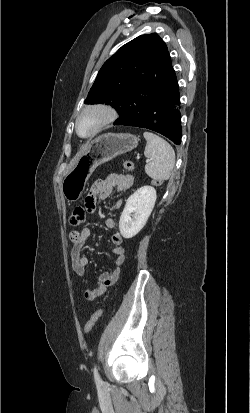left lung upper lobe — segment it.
<instances>
[{"label": "left lung upper lobe", "instance_id": "5c2ea615", "mask_svg": "<svg viewBox=\"0 0 250 413\" xmlns=\"http://www.w3.org/2000/svg\"><path fill=\"white\" fill-rule=\"evenodd\" d=\"M170 62L167 46L156 33L141 35L103 64L85 104L106 103L118 111L141 84L163 77Z\"/></svg>", "mask_w": 250, "mask_h": 413}]
</instances>
